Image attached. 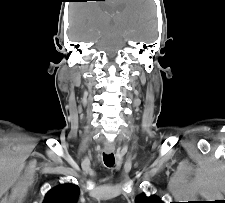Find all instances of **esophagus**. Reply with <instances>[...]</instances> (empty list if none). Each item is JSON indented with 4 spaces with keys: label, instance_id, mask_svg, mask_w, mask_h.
Returning <instances> with one entry per match:
<instances>
[{
    "label": "esophagus",
    "instance_id": "34e87169",
    "mask_svg": "<svg viewBox=\"0 0 225 203\" xmlns=\"http://www.w3.org/2000/svg\"><path fill=\"white\" fill-rule=\"evenodd\" d=\"M114 152V148H105V153L110 154Z\"/></svg>",
    "mask_w": 225,
    "mask_h": 203
}]
</instances>
